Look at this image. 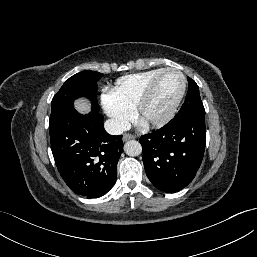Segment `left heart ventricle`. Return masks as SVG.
Listing matches in <instances>:
<instances>
[{
  "mask_svg": "<svg viewBox=\"0 0 257 257\" xmlns=\"http://www.w3.org/2000/svg\"><path fill=\"white\" fill-rule=\"evenodd\" d=\"M181 88V76L176 72L166 73L161 78L155 94L146 108V119H156L165 114L178 98Z\"/></svg>",
  "mask_w": 257,
  "mask_h": 257,
  "instance_id": "1",
  "label": "left heart ventricle"
}]
</instances>
